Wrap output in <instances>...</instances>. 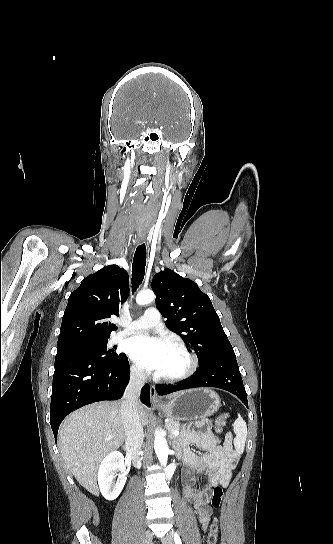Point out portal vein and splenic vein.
I'll return each mask as SVG.
<instances>
[{
	"mask_svg": "<svg viewBox=\"0 0 333 544\" xmlns=\"http://www.w3.org/2000/svg\"><path fill=\"white\" fill-rule=\"evenodd\" d=\"M173 434L174 435H179V431L176 430V431L173 432Z\"/></svg>",
	"mask_w": 333,
	"mask_h": 544,
	"instance_id": "portal-vein-and-splenic-vein-1",
	"label": "portal vein and splenic vein"
}]
</instances>
